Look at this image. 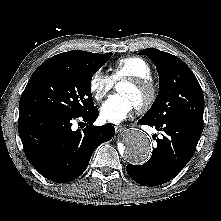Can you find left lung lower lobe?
Instances as JSON below:
<instances>
[{
  "mask_svg": "<svg viewBox=\"0 0 221 221\" xmlns=\"http://www.w3.org/2000/svg\"><path fill=\"white\" fill-rule=\"evenodd\" d=\"M141 125L155 127L164 133L157 138L151 158L142 165H127L129 176L143 186H157L174 178L189 162L203 131V124L183 117H171L152 123L143 117Z\"/></svg>",
  "mask_w": 221,
  "mask_h": 221,
  "instance_id": "left-lung-lower-lobe-1",
  "label": "left lung lower lobe"
}]
</instances>
